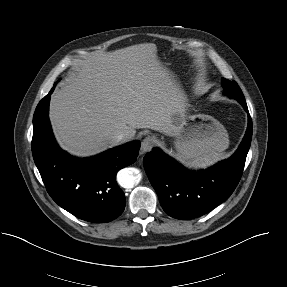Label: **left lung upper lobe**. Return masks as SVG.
<instances>
[{
	"label": "left lung upper lobe",
	"instance_id": "left-lung-upper-lobe-1",
	"mask_svg": "<svg viewBox=\"0 0 287 287\" xmlns=\"http://www.w3.org/2000/svg\"><path fill=\"white\" fill-rule=\"evenodd\" d=\"M222 86L224 87V93L230 98H236L238 101L245 100L244 95L236 82L222 78Z\"/></svg>",
	"mask_w": 287,
	"mask_h": 287
}]
</instances>
